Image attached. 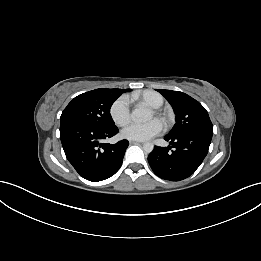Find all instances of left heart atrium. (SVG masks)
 <instances>
[{"instance_id":"39dd6f15","label":"left heart atrium","mask_w":261,"mask_h":261,"mask_svg":"<svg viewBox=\"0 0 261 261\" xmlns=\"http://www.w3.org/2000/svg\"><path fill=\"white\" fill-rule=\"evenodd\" d=\"M163 128V123L158 119L146 123L132 122L122 130V135L129 140L145 141L159 135Z\"/></svg>"}]
</instances>
